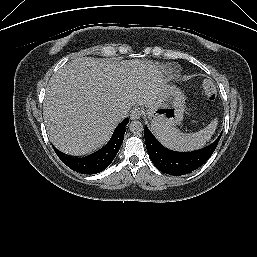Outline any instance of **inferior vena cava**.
I'll list each match as a JSON object with an SVG mask.
<instances>
[{
  "mask_svg": "<svg viewBox=\"0 0 257 257\" xmlns=\"http://www.w3.org/2000/svg\"><path fill=\"white\" fill-rule=\"evenodd\" d=\"M127 114H128V111L127 110H120L118 113H117V118L119 120H123L125 117H127Z\"/></svg>",
  "mask_w": 257,
  "mask_h": 257,
  "instance_id": "obj_1",
  "label": "inferior vena cava"
}]
</instances>
